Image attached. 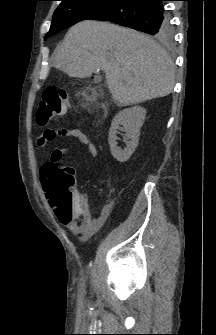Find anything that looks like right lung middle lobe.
Segmentation results:
<instances>
[{"instance_id":"right-lung-middle-lobe-1","label":"right lung middle lobe","mask_w":216,"mask_h":335,"mask_svg":"<svg viewBox=\"0 0 216 335\" xmlns=\"http://www.w3.org/2000/svg\"><path fill=\"white\" fill-rule=\"evenodd\" d=\"M60 6L55 10L50 31L45 35V40L59 31L68 28L77 22L91 19L100 11L111 5L116 0H61ZM172 30L169 27L156 38L169 40Z\"/></svg>"}]
</instances>
